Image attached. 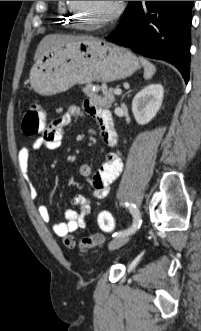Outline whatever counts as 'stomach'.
Listing matches in <instances>:
<instances>
[{
    "mask_svg": "<svg viewBox=\"0 0 201 331\" xmlns=\"http://www.w3.org/2000/svg\"><path fill=\"white\" fill-rule=\"evenodd\" d=\"M139 68V59L130 50L102 39H83L42 54L31 68L30 82L37 93L49 96L75 84L124 79Z\"/></svg>",
    "mask_w": 201,
    "mask_h": 331,
    "instance_id": "1",
    "label": "stomach"
}]
</instances>
